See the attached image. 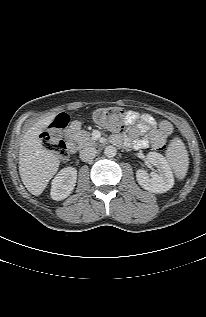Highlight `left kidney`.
<instances>
[{
    "instance_id": "left-kidney-1",
    "label": "left kidney",
    "mask_w": 206,
    "mask_h": 317,
    "mask_svg": "<svg viewBox=\"0 0 206 317\" xmlns=\"http://www.w3.org/2000/svg\"><path fill=\"white\" fill-rule=\"evenodd\" d=\"M147 160L156 166V172L150 174L146 170L138 169L136 178L139 185L153 193H164L174 185V177L168 161L163 155L156 152H149Z\"/></svg>"
}]
</instances>
